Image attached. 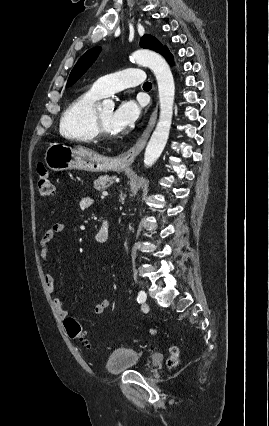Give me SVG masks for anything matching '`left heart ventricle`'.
Segmentation results:
<instances>
[{
  "label": "left heart ventricle",
  "instance_id": "obj_1",
  "mask_svg": "<svg viewBox=\"0 0 269 426\" xmlns=\"http://www.w3.org/2000/svg\"><path fill=\"white\" fill-rule=\"evenodd\" d=\"M101 122L103 126L105 127L106 131L110 134H117L118 131H116L111 123L112 115H113V109L112 108H104L98 111Z\"/></svg>",
  "mask_w": 269,
  "mask_h": 426
}]
</instances>
